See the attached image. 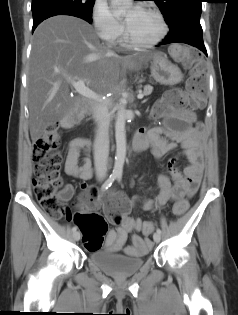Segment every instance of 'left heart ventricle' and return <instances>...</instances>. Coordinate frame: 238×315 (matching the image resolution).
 Wrapping results in <instances>:
<instances>
[{
  "label": "left heart ventricle",
  "instance_id": "left-heart-ventricle-1",
  "mask_svg": "<svg viewBox=\"0 0 238 315\" xmlns=\"http://www.w3.org/2000/svg\"><path fill=\"white\" fill-rule=\"evenodd\" d=\"M126 24L131 37L140 42L155 39L161 30L157 17L141 8L126 13Z\"/></svg>",
  "mask_w": 238,
  "mask_h": 315
}]
</instances>
